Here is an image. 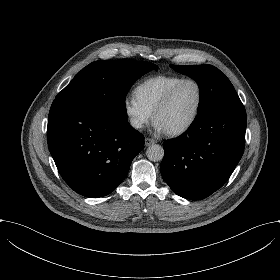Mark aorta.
<instances>
[{"mask_svg": "<svg viewBox=\"0 0 280 280\" xmlns=\"http://www.w3.org/2000/svg\"><path fill=\"white\" fill-rule=\"evenodd\" d=\"M146 153L150 161H160L163 159L164 149L159 144H153L147 148Z\"/></svg>", "mask_w": 280, "mask_h": 280, "instance_id": "aorta-1", "label": "aorta"}]
</instances>
